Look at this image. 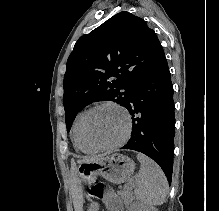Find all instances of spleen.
<instances>
[{
  "instance_id": "spleen-1",
  "label": "spleen",
  "mask_w": 219,
  "mask_h": 211,
  "mask_svg": "<svg viewBox=\"0 0 219 211\" xmlns=\"http://www.w3.org/2000/svg\"><path fill=\"white\" fill-rule=\"evenodd\" d=\"M137 159L141 163V169L135 177L136 199L146 205H161L164 203L168 191V181L164 171L158 163L143 153H137Z\"/></svg>"
}]
</instances>
